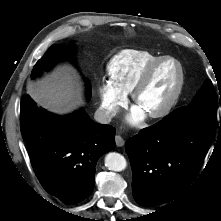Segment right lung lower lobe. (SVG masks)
<instances>
[{
  "mask_svg": "<svg viewBox=\"0 0 221 221\" xmlns=\"http://www.w3.org/2000/svg\"><path fill=\"white\" fill-rule=\"evenodd\" d=\"M21 133L43 188L74 204L93 191L95 166L115 146V128L92 121L83 110L59 116L21 98Z\"/></svg>",
  "mask_w": 221,
  "mask_h": 221,
  "instance_id": "98d812e1",
  "label": "right lung lower lobe"
}]
</instances>
